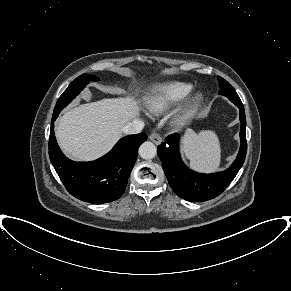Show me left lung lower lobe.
I'll return each instance as SVG.
<instances>
[{"label": "left lung lower lobe", "instance_id": "1", "mask_svg": "<svg viewBox=\"0 0 291 291\" xmlns=\"http://www.w3.org/2000/svg\"><path fill=\"white\" fill-rule=\"evenodd\" d=\"M234 104L240 109L241 146L237 158L227 170L213 174H202L190 170L180 157L179 134L168 136L165 142L158 146L157 153L162 161V168L169 185L182 199L203 202L215 198L229 186L242 167L247 152L246 117L241 100Z\"/></svg>", "mask_w": 291, "mask_h": 291}]
</instances>
